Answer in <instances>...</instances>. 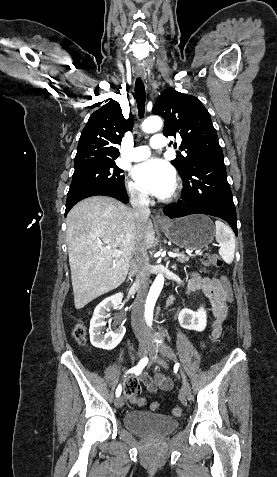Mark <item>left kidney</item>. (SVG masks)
I'll use <instances>...</instances> for the list:
<instances>
[{
  "label": "left kidney",
  "mask_w": 277,
  "mask_h": 477,
  "mask_svg": "<svg viewBox=\"0 0 277 477\" xmlns=\"http://www.w3.org/2000/svg\"><path fill=\"white\" fill-rule=\"evenodd\" d=\"M178 320L183 328L201 332L206 328L207 314L203 307H200L197 313L184 308L180 311Z\"/></svg>",
  "instance_id": "obj_1"
}]
</instances>
